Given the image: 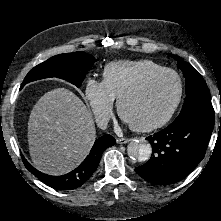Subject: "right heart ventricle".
I'll return each instance as SVG.
<instances>
[{
	"mask_svg": "<svg viewBox=\"0 0 221 221\" xmlns=\"http://www.w3.org/2000/svg\"><path fill=\"white\" fill-rule=\"evenodd\" d=\"M162 65L147 59L122 60L107 64L103 70V82L115 99L149 73L164 69Z\"/></svg>",
	"mask_w": 221,
	"mask_h": 221,
	"instance_id": "obj_1",
	"label": "right heart ventricle"
}]
</instances>
